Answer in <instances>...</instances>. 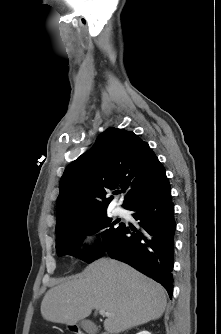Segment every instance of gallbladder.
Here are the masks:
<instances>
[{
  "label": "gallbladder",
  "mask_w": 221,
  "mask_h": 334,
  "mask_svg": "<svg viewBox=\"0 0 221 334\" xmlns=\"http://www.w3.org/2000/svg\"><path fill=\"white\" fill-rule=\"evenodd\" d=\"M80 326H81V328H82L84 331L88 332L89 334H90V333H91V334L96 333V331H97V329H98V328L95 326V324H94L93 322L89 321V320H82V321L80 322Z\"/></svg>",
  "instance_id": "obj_1"
}]
</instances>
